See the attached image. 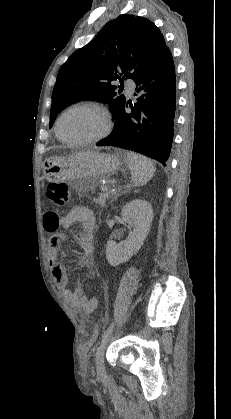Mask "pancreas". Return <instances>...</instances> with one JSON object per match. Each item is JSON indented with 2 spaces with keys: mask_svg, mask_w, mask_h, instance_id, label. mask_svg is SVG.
<instances>
[{
  "mask_svg": "<svg viewBox=\"0 0 231 419\" xmlns=\"http://www.w3.org/2000/svg\"><path fill=\"white\" fill-rule=\"evenodd\" d=\"M104 187H107V186H102V187H101L102 192H101V193H99V197H98V199L96 200V202H97V203H98L101 207H104V206H105L106 201L110 198V193H109V191H108V190H104V189H103Z\"/></svg>",
  "mask_w": 231,
  "mask_h": 419,
  "instance_id": "obj_1",
  "label": "pancreas"
}]
</instances>
